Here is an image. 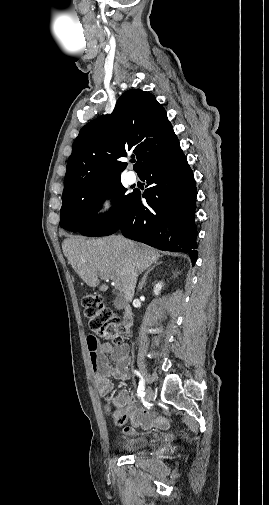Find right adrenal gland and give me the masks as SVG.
Returning <instances> with one entry per match:
<instances>
[{
  "instance_id": "obj_1",
  "label": "right adrenal gland",
  "mask_w": 269,
  "mask_h": 505,
  "mask_svg": "<svg viewBox=\"0 0 269 505\" xmlns=\"http://www.w3.org/2000/svg\"><path fill=\"white\" fill-rule=\"evenodd\" d=\"M162 262H157V263H154V265L152 267H150L146 273L144 274L143 278H142V281L139 283V286H138V289L141 290L145 284V281H146V278L148 276V274L157 266V265H160Z\"/></svg>"
}]
</instances>
